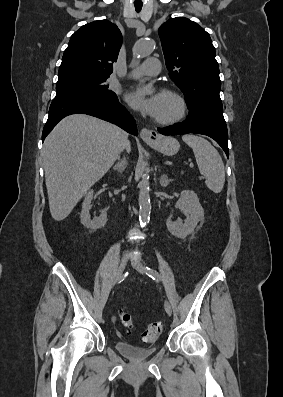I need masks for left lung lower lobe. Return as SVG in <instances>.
Returning <instances> with one entry per match:
<instances>
[{"instance_id": "obj_1", "label": "left lung lower lobe", "mask_w": 283, "mask_h": 397, "mask_svg": "<svg viewBox=\"0 0 283 397\" xmlns=\"http://www.w3.org/2000/svg\"><path fill=\"white\" fill-rule=\"evenodd\" d=\"M163 135H179L186 133L203 134L213 138L229 157L228 132L223 111L205 107L189 109V115L182 123H177L166 128H158Z\"/></svg>"}]
</instances>
